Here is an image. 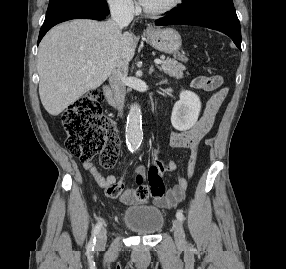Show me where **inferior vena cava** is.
<instances>
[{"mask_svg":"<svg viewBox=\"0 0 286 269\" xmlns=\"http://www.w3.org/2000/svg\"><path fill=\"white\" fill-rule=\"evenodd\" d=\"M133 10L127 3H118L111 7V18L117 28L122 31L123 28L133 20ZM128 74V63L120 62L110 77V85L114 93L119 114H122L124 106L126 85L125 79Z\"/></svg>","mask_w":286,"mask_h":269,"instance_id":"inferior-vena-cava-1","label":"inferior vena cava"}]
</instances>
